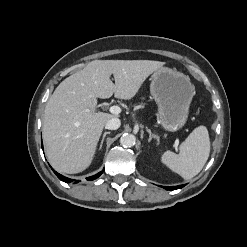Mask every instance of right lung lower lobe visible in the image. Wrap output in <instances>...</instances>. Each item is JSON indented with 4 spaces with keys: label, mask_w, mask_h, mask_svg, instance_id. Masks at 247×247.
<instances>
[{
    "label": "right lung lower lobe",
    "mask_w": 247,
    "mask_h": 247,
    "mask_svg": "<svg viewBox=\"0 0 247 247\" xmlns=\"http://www.w3.org/2000/svg\"><path fill=\"white\" fill-rule=\"evenodd\" d=\"M42 148H43V144H42ZM54 171V170H53ZM54 173L57 175V177L63 181V182H66V183H69V182H72L73 179H69V178H66L64 176H62L61 174L57 173L56 171H54ZM102 174V172H99L98 174L94 175V176H90L88 178H86L88 181H91V180H94L96 178H98L100 175Z\"/></svg>",
    "instance_id": "obj_1"
}]
</instances>
